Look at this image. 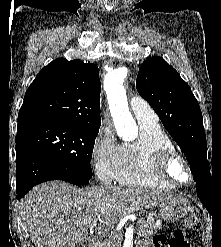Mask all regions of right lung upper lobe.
Returning <instances> with one entry per match:
<instances>
[{
  "instance_id": "1",
  "label": "right lung upper lobe",
  "mask_w": 221,
  "mask_h": 247,
  "mask_svg": "<svg viewBox=\"0 0 221 247\" xmlns=\"http://www.w3.org/2000/svg\"><path fill=\"white\" fill-rule=\"evenodd\" d=\"M100 88L97 65L55 59L39 72L27 89L17 129L55 123L99 129Z\"/></svg>"
}]
</instances>
